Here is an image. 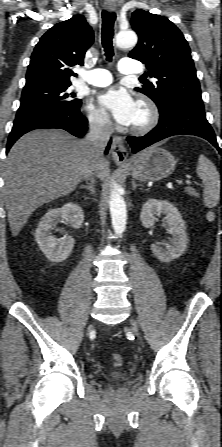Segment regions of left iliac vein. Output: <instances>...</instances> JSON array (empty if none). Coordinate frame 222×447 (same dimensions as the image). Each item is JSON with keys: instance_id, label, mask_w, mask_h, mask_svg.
Instances as JSON below:
<instances>
[{"instance_id": "1", "label": "left iliac vein", "mask_w": 222, "mask_h": 447, "mask_svg": "<svg viewBox=\"0 0 222 447\" xmlns=\"http://www.w3.org/2000/svg\"><path fill=\"white\" fill-rule=\"evenodd\" d=\"M130 324H131L132 332L138 337L139 336V329H138V324H137L136 320L131 318L130 319Z\"/></svg>"}]
</instances>
